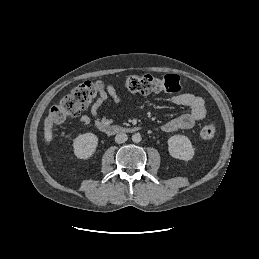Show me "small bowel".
<instances>
[{
    "mask_svg": "<svg viewBox=\"0 0 259 259\" xmlns=\"http://www.w3.org/2000/svg\"><path fill=\"white\" fill-rule=\"evenodd\" d=\"M109 99L117 104L121 103V98L111 84L107 85L106 92H103L92 104L90 108V116L82 115L80 116L79 121L83 125H89L93 120L97 128L111 124L112 118L101 113L104 104L108 102ZM169 101L173 104L187 107L190 111L165 122L159 128V131L163 133L189 130L193 128L197 122L203 120L207 116L208 108L206 102L200 96L190 93H181L171 96Z\"/></svg>",
    "mask_w": 259,
    "mask_h": 259,
    "instance_id": "obj_1",
    "label": "small bowel"
}]
</instances>
